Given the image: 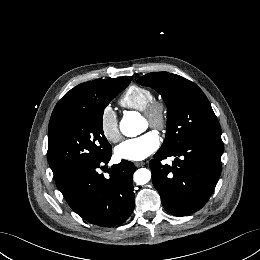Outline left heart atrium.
Masks as SVG:
<instances>
[{
    "label": "left heart atrium",
    "mask_w": 260,
    "mask_h": 260,
    "mask_svg": "<svg viewBox=\"0 0 260 260\" xmlns=\"http://www.w3.org/2000/svg\"><path fill=\"white\" fill-rule=\"evenodd\" d=\"M160 146L159 136L149 131L139 137L131 138L120 143L115 150V154L119 159L129 161H142Z\"/></svg>",
    "instance_id": "39dd6f15"
}]
</instances>
